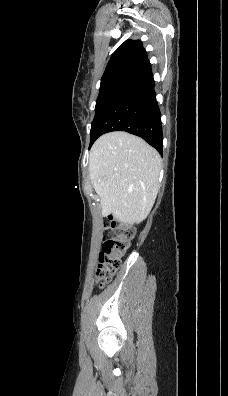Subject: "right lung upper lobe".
<instances>
[{"label":"right lung upper lobe","instance_id":"obj_1","mask_svg":"<svg viewBox=\"0 0 228 396\" xmlns=\"http://www.w3.org/2000/svg\"><path fill=\"white\" fill-rule=\"evenodd\" d=\"M151 69L147 53L139 40H127L113 53L101 78L100 87L129 85Z\"/></svg>","mask_w":228,"mask_h":396}]
</instances>
